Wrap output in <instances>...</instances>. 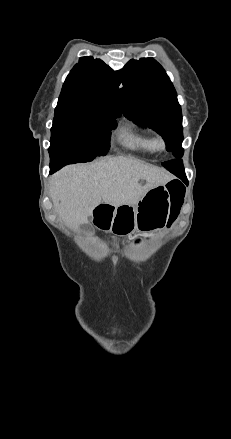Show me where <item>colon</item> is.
<instances>
[{
    "instance_id": "1",
    "label": "colon",
    "mask_w": 231,
    "mask_h": 439,
    "mask_svg": "<svg viewBox=\"0 0 231 439\" xmlns=\"http://www.w3.org/2000/svg\"><path fill=\"white\" fill-rule=\"evenodd\" d=\"M167 190L176 207H179L184 198V186L176 181L168 183Z\"/></svg>"
}]
</instances>
